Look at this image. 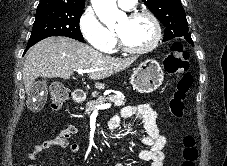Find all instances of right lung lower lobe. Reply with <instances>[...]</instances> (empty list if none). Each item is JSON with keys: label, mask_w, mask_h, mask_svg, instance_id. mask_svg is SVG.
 I'll return each instance as SVG.
<instances>
[{"label": "right lung lower lobe", "mask_w": 227, "mask_h": 166, "mask_svg": "<svg viewBox=\"0 0 227 166\" xmlns=\"http://www.w3.org/2000/svg\"><path fill=\"white\" fill-rule=\"evenodd\" d=\"M32 45H27L25 52L31 47Z\"/></svg>", "instance_id": "1"}]
</instances>
